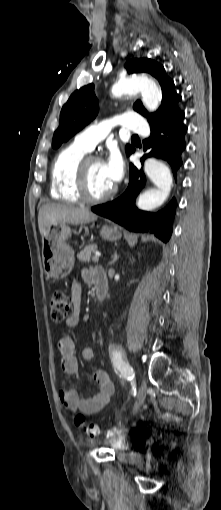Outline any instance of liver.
<instances>
[{
    "mask_svg": "<svg viewBox=\"0 0 221 510\" xmlns=\"http://www.w3.org/2000/svg\"><path fill=\"white\" fill-rule=\"evenodd\" d=\"M97 215L86 208H78L72 205L49 203L43 205L38 214L40 234L43 236L47 228L56 222L69 224H85L95 221Z\"/></svg>",
    "mask_w": 221,
    "mask_h": 510,
    "instance_id": "liver-1",
    "label": "liver"
}]
</instances>
